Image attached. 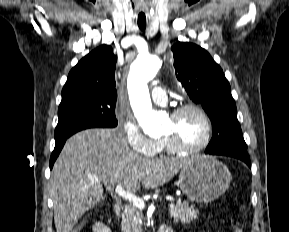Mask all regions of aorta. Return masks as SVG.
I'll return each instance as SVG.
<instances>
[{"instance_id":"1","label":"aorta","mask_w":289,"mask_h":232,"mask_svg":"<svg viewBox=\"0 0 289 232\" xmlns=\"http://www.w3.org/2000/svg\"><path fill=\"white\" fill-rule=\"evenodd\" d=\"M161 60L153 55L139 56L131 65L128 91L134 114L145 134L160 135L162 115L152 109L147 83L161 67Z\"/></svg>"}]
</instances>
